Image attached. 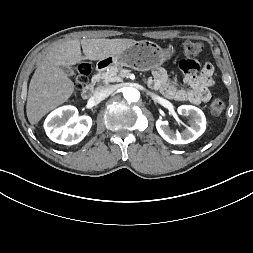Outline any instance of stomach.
Wrapping results in <instances>:
<instances>
[{
    "mask_svg": "<svg viewBox=\"0 0 253 253\" xmlns=\"http://www.w3.org/2000/svg\"><path fill=\"white\" fill-rule=\"evenodd\" d=\"M171 55L172 49H162L154 42L142 40L124 51L99 60L98 63H102L103 70L112 66H126L138 71H148L162 65Z\"/></svg>",
    "mask_w": 253,
    "mask_h": 253,
    "instance_id": "obj_1",
    "label": "stomach"
}]
</instances>
